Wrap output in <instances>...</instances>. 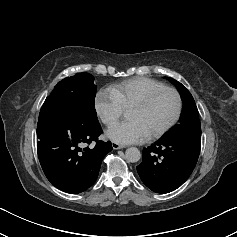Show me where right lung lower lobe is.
Returning <instances> with one entry per match:
<instances>
[{
	"label": "right lung lower lobe",
	"instance_id": "right-lung-lower-lobe-1",
	"mask_svg": "<svg viewBox=\"0 0 237 237\" xmlns=\"http://www.w3.org/2000/svg\"><path fill=\"white\" fill-rule=\"evenodd\" d=\"M101 133L99 123L78 124L59 113L40 111L37 152L46 177L55 187L76 194L95 182L103 158L112 150L110 141H98ZM91 142L97 143L83 148Z\"/></svg>",
	"mask_w": 237,
	"mask_h": 237
}]
</instances>
